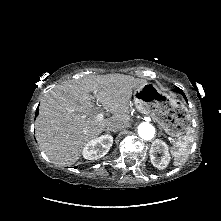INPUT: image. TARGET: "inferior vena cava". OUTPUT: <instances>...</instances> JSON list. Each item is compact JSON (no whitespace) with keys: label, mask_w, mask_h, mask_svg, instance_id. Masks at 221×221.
Here are the masks:
<instances>
[{"label":"inferior vena cava","mask_w":221,"mask_h":221,"mask_svg":"<svg viewBox=\"0 0 221 221\" xmlns=\"http://www.w3.org/2000/svg\"><path fill=\"white\" fill-rule=\"evenodd\" d=\"M127 126L124 124H121V123H112V124L108 125L107 130L117 132V131H120V130L126 128Z\"/></svg>","instance_id":"1"}]
</instances>
